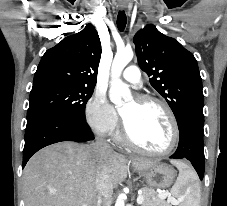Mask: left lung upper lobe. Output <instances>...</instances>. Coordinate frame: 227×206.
I'll use <instances>...</instances> for the list:
<instances>
[{
    "label": "left lung upper lobe",
    "mask_w": 227,
    "mask_h": 206,
    "mask_svg": "<svg viewBox=\"0 0 227 206\" xmlns=\"http://www.w3.org/2000/svg\"><path fill=\"white\" fill-rule=\"evenodd\" d=\"M138 63L166 99L178 127L189 118L204 120L202 79L194 55L152 24L134 36Z\"/></svg>",
    "instance_id": "left-lung-upper-lobe-1"
}]
</instances>
